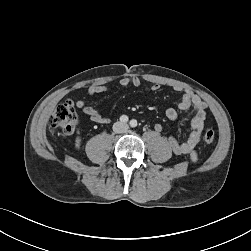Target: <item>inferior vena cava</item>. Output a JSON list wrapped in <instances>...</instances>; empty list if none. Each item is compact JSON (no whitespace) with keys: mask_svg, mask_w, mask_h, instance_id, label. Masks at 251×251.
I'll list each match as a JSON object with an SVG mask.
<instances>
[{"mask_svg":"<svg viewBox=\"0 0 251 251\" xmlns=\"http://www.w3.org/2000/svg\"><path fill=\"white\" fill-rule=\"evenodd\" d=\"M128 130V125L122 122H116L113 125V131L115 133H125Z\"/></svg>","mask_w":251,"mask_h":251,"instance_id":"obj_1","label":"inferior vena cava"}]
</instances>
